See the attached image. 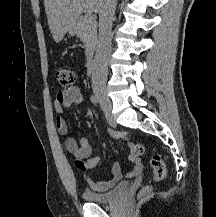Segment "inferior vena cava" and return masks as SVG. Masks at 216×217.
<instances>
[{"mask_svg": "<svg viewBox=\"0 0 216 217\" xmlns=\"http://www.w3.org/2000/svg\"><path fill=\"white\" fill-rule=\"evenodd\" d=\"M116 1L103 0L99 11V36L91 78L93 88L106 86L112 40V20L116 9Z\"/></svg>", "mask_w": 216, "mask_h": 217, "instance_id": "inferior-vena-cava-1", "label": "inferior vena cava"}]
</instances>
